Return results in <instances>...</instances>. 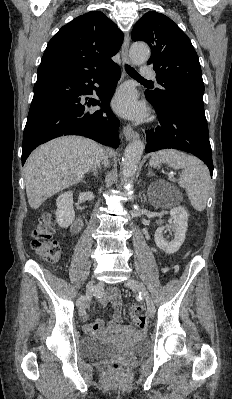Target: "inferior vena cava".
Returning <instances> with one entry per match:
<instances>
[{"instance_id":"obj_1","label":"inferior vena cava","mask_w":232,"mask_h":399,"mask_svg":"<svg viewBox=\"0 0 232 399\" xmlns=\"http://www.w3.org/2000/svg\"><path fill=\"white\" fill-rule=\"evenodd\" d=\"M103 160H104L103 164H105V166H108V160H107V158H103Z\"/></svg>"}]
</instances>
